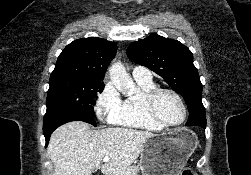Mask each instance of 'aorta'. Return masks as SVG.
<instances>
[{"label": "aorta", "instance_id": "aorta-1", "mask_svg": "<svg viewBox=\"0 0 251 175\" xmlns=\"http://www.w3.org/2000/svg\"><path fill=\"white\" fill-rule=\"evenodd\" d=\"M109 76L113 86L119 89L121 93H124V95H132V93H134L136 86L132 78L127 74L123 64H120V62L112 64L109 70Z\"/></svg>", "mask_w": 251, "mask_h": 175}]
</instances>
